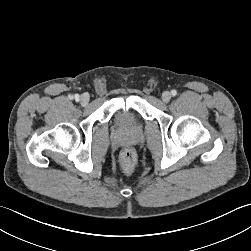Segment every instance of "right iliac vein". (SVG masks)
I'll use <instances>...</instances> for the list:
<instances>
[{"label": "right iliac vein", "mask_w": 251, "mask_h": 251, "mask_svg": "<svg viewBox=\"0 0 251 251\" xmlns=\"http://www.w3.org/2000/svg\"><path fill=\"white\" fill-rule=\"evenodd\" d=\"M89 99H90L89 95L87 93H84L80 96L79 101L83 106H85L88 104Z\"/></svg>", "instance_id": "1"}]
</instances>
